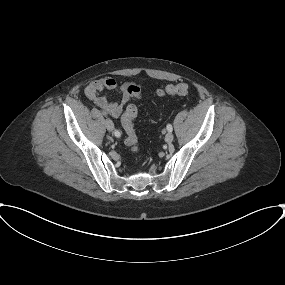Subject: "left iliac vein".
<instances>
[{
	"mask_svg": "<svg viewBox=\"0 0 285 285\" xmlns=\"http://www.w3.org/2000/svg\"><path fill=\"white\" fill-rule=\"evenodd\" d=\"M173 139H174L173 133H172V132H168V133L166 134V136H165V141H166L167 143H171V142L173 141Z\"/></svg>",
	"mask_w": 285,
	"mask_h": 285,
	"instance_id": "1",
	"label": "left iliac vein"
}]
</instances>
